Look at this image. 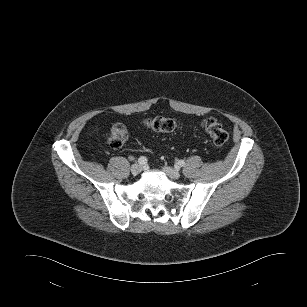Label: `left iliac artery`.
Listing matches in <instances>:
<instances>
[{
	"instance_id": "44dca946",
	"label": "left iliac artery",
	"mask_w": 307,
	"mask_h": 307,
	"mask_svg": "<svg viewBox=\"0 0 307 307\" xmlns=\"http://www.w3.org/2000/svg\"><path fill=\"white\" fill-rule=\"evenodd\" d=\"M177 165L180 166V167H183L185 165V162L183 160H179L177 162Z\"/></svg>"
}]
</instances>
